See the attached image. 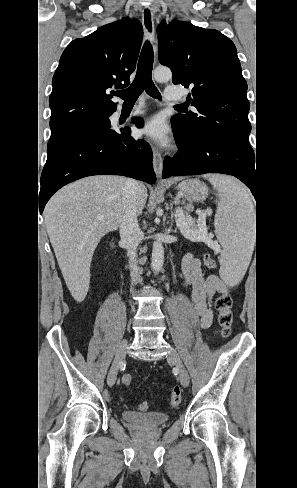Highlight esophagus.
Returning a JSON list of instances; mask_svg holds the SVG:
<instances>
[{"label": "esophagus", "mask_w": 297, "mask_h": 488, "mask_svg": "<svg viewBox=\"0 0 297 488\" xmlns=\"http://www.w3.org/2000/svg\"><path fill=\"white\" fill-rule=\"evenodd\" d=\"M142 24L145 35L150 42L154 41V15L151 7L147 6L142 11ZM153 167L156 176L160 179L163 170V159L160 152L153 148Z\"/></svg>", "instance_id": "1"}]
</instances>
